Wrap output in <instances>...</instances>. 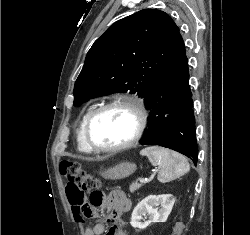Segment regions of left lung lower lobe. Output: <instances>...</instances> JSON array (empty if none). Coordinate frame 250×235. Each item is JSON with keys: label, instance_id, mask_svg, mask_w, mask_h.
<instances>
[{"label": "left lung lower lobe", "instance_id": "left-lung-lower-lobe-1", "mask_svg": "<svg viewBox=\"0 0 250 235\" xmlns=\"http://www.w3.org/2000/svg\"><path fill=\"white\" fill-rule=\"evenodd\" d=\"M189 86L188 60L178 36L145 96L150 110L144 145H159L191 158L196 165L198 148Z\"/></svg>", "mask_w": 250, "mask_h": 235}]
</instances>
